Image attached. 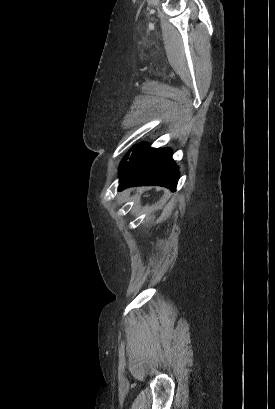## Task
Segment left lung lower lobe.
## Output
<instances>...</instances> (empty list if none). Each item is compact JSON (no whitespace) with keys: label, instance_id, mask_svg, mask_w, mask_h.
I'll return each instance as SVG.
<instances>
[{"label":"left lung lower lobe","instance_id":"0a47b994","mask_svg":"<svg viewBox=\"0 0 275 409\" xmlns=\"http://www.w3.org/2000/svg\"><path fill=\"white\" fill-rule=\"evenodd\" d=\"M119 174L118 190L137 185H160L175 190L179 171L169 148L154 149L142 143L134 147Z\"/></svg>","mask_w":275,"mask_h":409}]
</instances>
